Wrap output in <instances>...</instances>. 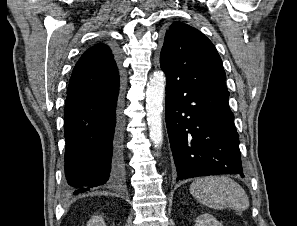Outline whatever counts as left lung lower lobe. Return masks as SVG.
<instances>
[{
    "label": "left lung lower lobe",
    "mask_w": 297,
    "mask_h": 226,
    "mask_svg": "<svg viewBox=\"0 0 297 226\" xmlns=\"http://www.w3.org/2000/svg\"><path fill=\"white\" fill-rule=\"evenodd\" d=\"M166 78L165 118L176 180L217 174L244 177L228 90H199Z\"/></svg>",
    "instance_id": "left-lung-lower-lobe-1"
}]
</instances>
